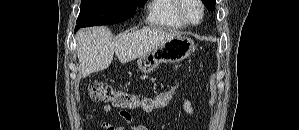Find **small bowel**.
<instances>
[{
  "label": "small bowel",
  "mask_w": 299,
  "mask_h": 130,
  "mask_svg": "<svg viewBox=\"0 0 299 130\" xmlns=\"http://www.w3.org/2000/svg\"><path fill=\"white\" fill-rule=\"evenodd\" d=\"M183 107H184V110H185L186 114L189 117H191V118L195 117V108H194L193 101L190 97H186L184 99ZM103 111L107 114H113L114 113L113 108L110 105H105L103 107ZM119 116L126 123L131 122V115L127 111H120ZM86 118L88 120H90L92 117H91V115H88ZM126 128H127L126 126H113V125H111L110 123H107V122H104L101 125L102 130H125ZM154 128L156 130H159V127L156 124L154 125ZM130 129H132V130H148V128L146 126L142 125V124L131 125Z\"/></svg>",
  "instance_id": "1"
}]
</instances>
